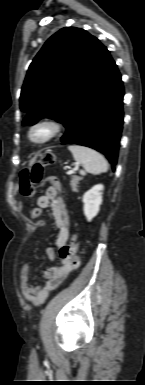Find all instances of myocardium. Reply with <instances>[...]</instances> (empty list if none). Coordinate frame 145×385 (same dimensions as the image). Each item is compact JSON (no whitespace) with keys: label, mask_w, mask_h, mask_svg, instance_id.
<instances>
[{"label":"myocardium","mask_w":145,"mask_h":385,"mask_svg":"<svg viewBox=\"0 0 145 385\" xmlns=\"http://www.w3.org/2000/svg\"><path fill=\"white\" fill-rule=\"evenodd\" d=\"M61 131V125L51 119H42L30 126L27 137L34 145H44L53 140ZM42 132L43 135L37 137V134Z\"/></svg>","instance_id":"myocardium-1"}]
</instances>
